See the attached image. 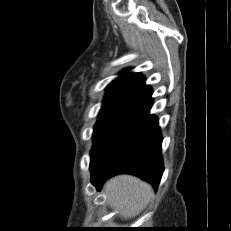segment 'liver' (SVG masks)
I'll return each instance as SVG.
<instances>
[{"label":"liver","instance_id":"liver-1","mask_svg":"<svg viewBox=\"0 0 231 231\" xmlns=\"http://www.w3.org/2000/svg\"><path fill=\"white\" fill-rule=\"evenodd\" d=\"M105 191L109 204L125 219L138 215L153 195L149 184L130 175L113 177L105 184Z\"/></svg>","mask_w":231,"mask_h":231}]
</instances>
